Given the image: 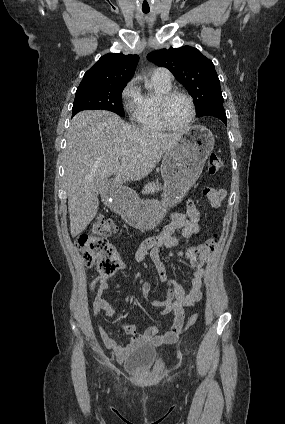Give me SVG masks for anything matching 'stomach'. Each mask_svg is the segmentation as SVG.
<instances>
[{
	"label": "stomach",
	"mask_w": 285,
	"mask_h": 424,
	"mask_svg": "<svg viewBox=\"0 0 285 424\" xmlns=\"http://www.w3.org/2000/svg\"><path fill=\"white\" fill-rule=\"evenodd\" d=\"M214 142L209 129L199 125L192 127L163 157L162 201L118 194L112 207L135 227L151 229L157 226L164 218L167 206L178 203L194 185L214 148Z\"/></svg>",
	"instance_id": "stomach-1"
}]
</instances>
